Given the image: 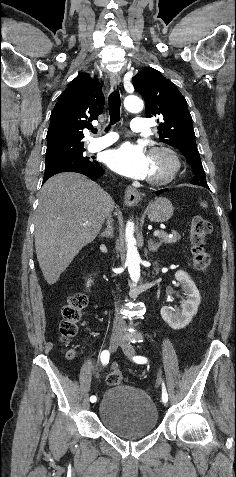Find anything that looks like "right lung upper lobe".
Here are the masks:
<instances>
[{"mask_svg":"<svg viewBox=\"0 0 236 477\" xmlns=\"http://www.w3.org/2000/svg\"><path fill=\"white\" fill-rule=\"evenodd\" d=\"M101 84L81 73L67 86L50 116L45 163L85 150L82 130L91 126L104 108Z\"/></svg>","mask_w":236,"mask_h":477,"instance_id":"cb5924a9","label":"right lung upper lobe"}]
</instances>
